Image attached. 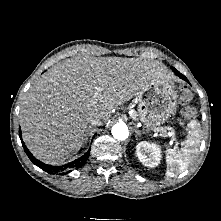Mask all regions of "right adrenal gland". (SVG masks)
I'll return each mask as SVG.
<instances>
[{
    "mask_svg": "<svg viewBox=\"0 0 221 221\" xmlns=\"http://www.w3.org/2000/svg\"><path fill=\"white\" fill-rule=\"evenodd\" d=\"M84 140H85V143H86L87 142V137Z\"/></svg>",
    "mask_w": 221,
    "mask_h": 221,
    "instance_id": "obj_1",
    "label": "right adrenal gland"
}]
</instances>
